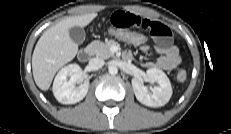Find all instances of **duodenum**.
Listing matches in <instances>:
<instances>
[{
    "label": "duodenum",
    "mask_w": 231,
    "mask_h": 134,
    "mask_svg": "<svg viewBox=\"0 0 231 134\" xmlns=\"http://www.w3.org/2000/svg\"><path fill=\"white\" fill-rule=\"evenodd\" d=\"M90 56H91V48L90 47H86L84 49H81L78 52V55H77L79 61H81V62L88 61V59L90 58Z\"/></svg>",
    "instance_id": "410a0bca"
}]
</instances>
